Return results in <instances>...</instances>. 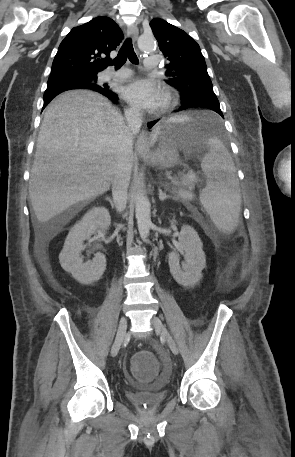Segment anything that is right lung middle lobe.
<instances>
[{
  "label": "right lung middle lobe",
  "instance_id": "1",
  "mask_svg": "<svg viewBox=\"0 0 295 457\" xmlns=\"http://www.w3.org/2000/svg\"><path fill=\"white\" fill-rule=\"evenodd\" d=\"M78 82L83 83L85 86H96L100 87L97 85V76H91V77H85L80 79ZM65 90H60V89H46L44 93V98H53L59 93L63 92Z\"/></svg>",
  "mask_w": 295,
  "mask_h": 457
}]
</instances>
